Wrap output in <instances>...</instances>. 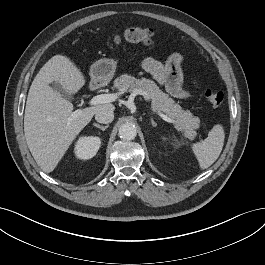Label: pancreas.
<instances>
[{"label": "pancreas", "instance_id": "cf45deb5", "mask_svg": "<svg viewBox=\"0 0 265 265\" xmlns=\"http://www.w3.org/2000/svg\"><path fill=\"white\" fill-rule=\"evenodd\" d=\"M114 87L122 93L142 94L152 101L155 110L162 111L173 119L176 126L184 132L185 137L193 139L196 136L195 129L199 128L200 119L189 110H183L168 94L161 91L154 81L124 74L114 81Z\"/></svg>", "mask_w": 265, "mask_h": 265}]
</instances>
